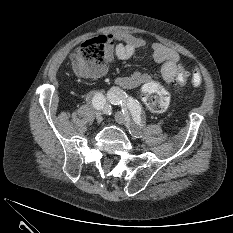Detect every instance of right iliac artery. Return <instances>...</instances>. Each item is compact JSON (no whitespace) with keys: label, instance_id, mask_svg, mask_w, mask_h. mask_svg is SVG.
I'll return each mask as SVG.
<instances>
[{"label":"right iliac artery","instance_id":"obj_1","mask_svg":"<svg viewBox=\"0 0 233 233\" xmlns=\"http://www.w3.org/2000/svg\"><path fill=\"white\" fill-rule=\"evenodd\" d=\"M87 102L97 110H102L105 113L110 112V108L106 102L104 95L100 92H90L86 98Z\"/></svg>","mask_w":233,"mask_h":233}]
</instances>
